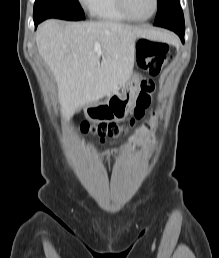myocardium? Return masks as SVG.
I'll use <instances>...</instances> for the list:
<instances>
[{
  "label": "myocardium",
  "mask_w": 219,
  "mask_h": 258,
  "mask_svg": "<svg viewBox=\"0 0 219 258\" xmlns=\"http://www.w3.org/2000/svg\"><path fill=\"white\" fill-rule=\"evenodd\" d=\"M117 4H118V7H119L121 13L128 20L135 21V22H145V21L150 20L151 18H153L155 16V14L157 13V11L159 9V0H154V9H153L152 13L147 17L138 18V17L133 16L130 13V11L128 10V7H127L126 0H117Z\"/></svg>",
  "instance_id": "1"
}]
</instances>
